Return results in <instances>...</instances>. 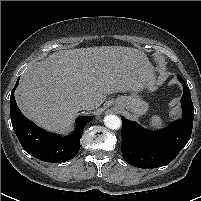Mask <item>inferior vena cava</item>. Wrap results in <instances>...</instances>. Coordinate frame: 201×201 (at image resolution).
<instances>
[{
    "label": "inferior vena cava",
    "instance_id": "602c4592",
    "mask_svg": "<svg viewBox=\"0 0 201 201\" xmlns=\"http://www.w3.org/2000/svg\"><path fill=\"white\" fill-rule=\"evenodd\" d=\"M94 106L95 104L88 100L80 101L77 104L79 110H92Z\"/></svg>",
    "mask_w": 201,
    "mask_h": 201
}]
</instances>
